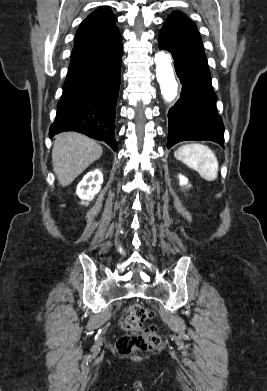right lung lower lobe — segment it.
I'll return each mask as SVG.
<instances>
[{"instance_id":"1","label":"right lung lower lobe","mask_w":267,"mask_h":391,"mask_svg":"<svg viewBox=\"0 0 267 391\" xmlns=\"http://www.w3.org/2000/svg\"><path fill=\"white\" fill-rule=\"evenodd\" d=\"M121 61L122 43L70 63L50 137L64 131H77L117 150L115 114Z\"/></svg>"}]
</instances>
